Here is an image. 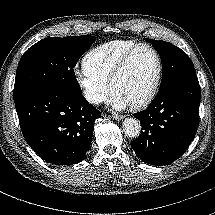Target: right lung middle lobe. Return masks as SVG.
Listing matches in <instances>:
<instances>
[{
	"mask_svg": "<svg viewBox=\"0 0 215 215\" xmlns=\"http://www.w3.org/2000/svg\"><path fill=\"white\" fill-rule=\"evenodd\" d=\"M94 36L48 37L31 46L16 71L14 102L41 90L81 94L74 67Z\"/></svg>",
	"mask_w": 215,
	"mask_h": 215,
	"instance_id": "dd1d6c3e",
	"label": "right lung middle lobe"
}]
</instances>
